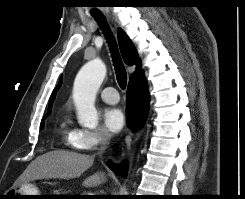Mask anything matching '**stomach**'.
<instances>
[{
    "instance_id": "stomach-1",
    "label": "stomach",
    "mask_w": 245,
    "mask_h": 199,
    "mask_svg": "<svg viewBox=\"0 0 245 199\" xmlns=\"http://www.w3.org/2000/svg\"><path fill=\"white\" fill-rule=\"evenodd\" d=\"M12 199H37L38 196H15V195H41L39 190L32 184H21L18 188L9 190Z\"/></svg>"
}]
</instances>
